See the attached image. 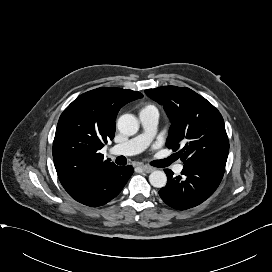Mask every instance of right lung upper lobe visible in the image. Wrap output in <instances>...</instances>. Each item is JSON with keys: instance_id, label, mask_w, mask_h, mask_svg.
Masks as SVG:
<instances>
[{"instance_id": "cb5924a9", "label": "right lung upper lobe", "mask_w": 272, "mask_h": 272, "mask_svg": "<svg viewBox=\"0 0 272 272\" xmlns=\"http://www.w3.org/2000/svg\"><path fill=\"white\" fill-rule=\"evenodd\" d=\"M140 92L102 87L77 97L61 114L53 141V159L66 191L113 165L99 150L115 135V119Z\"/></svg>"}]
</instances>
